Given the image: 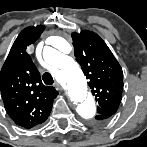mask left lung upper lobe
Here are the masks:
<instances>
[{
	"mask_svg": "<svg viewBox=\"0 0 147 147\" xmlns=\"http://www.w3.org/2000/svg\"><path fill=\"white\" fill-rule=\"evenodd\" d=\"M75 57L97 101V116L116 113L122 99L123 72L106 43L94 32L72 33Z\"/></svg>",
	"mask_w": 147,
	"mask_h": 147,
	"instance_id": "left-lung-upper-lobe-1",
	"label": "left lung upper lobe"
}]
</instances>
